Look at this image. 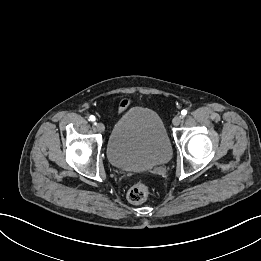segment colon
I'll list each match as a JSON object with an SVG mask.
<instances>
[{
  "instance_id": "5ec220e1",
  "label": "colon",
  "mask_w": 261,
  "mask_h": 261,
  "mask_svg": "<svg viewBox=\"0 0 261 261\" xmlns=\"http://www.w3.org/2000/svg\"><path fill=\"white\" fill-rule=\"evenodd\" d=\"M149 195V188L144 182H137L131 186L127 192V198L130 202L139 204L144 202Z\"/></svg>"
}]
</instances>
